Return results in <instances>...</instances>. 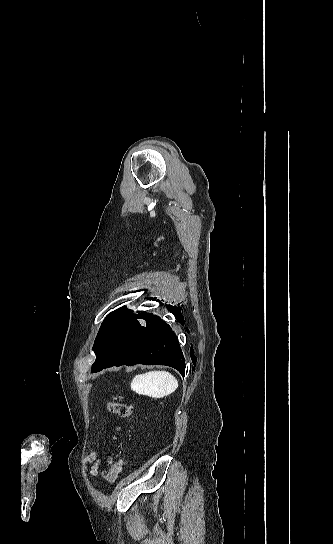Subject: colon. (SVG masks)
<instances>
[{
	"mask_svg": "<svg viewBox=\"0 0 333 544\" xmlns=\"http://www.w3.org/2000/svg\"><path fill=\"white\" fill-rule=\"evenodd\" d=\"M106 408L109 412L118 415L121 418H131L133 416V408L130 405L108 401L106 403ZM108 470L104 473V478L110 484L115 483L121 476L124 467L125 460L116 455H110L107 458Z\"/></svg>",
	"mask_w": 333,
	"mask_h": 544,
	"instance_id": "5ec220e1",
	"label": "colon"
}]
</instances>
